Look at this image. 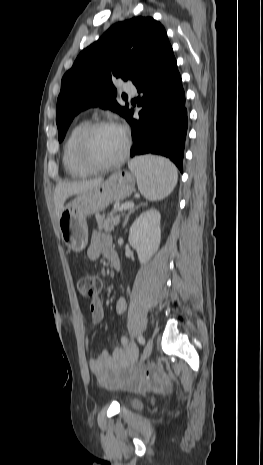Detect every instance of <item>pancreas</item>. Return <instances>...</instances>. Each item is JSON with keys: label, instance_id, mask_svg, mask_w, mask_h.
I'll return each instance as SVG.
<instances>
[{"label": "pancreas", "instance_id": "obj_1", "mask_svg": "<svg viewBox=\"0 0 263 465\" xmlns=\"http://www.w3.org/2000/svg\"><path fill=\"white\" fill-rule=\"evenodd\" d=\"M96 220H97L98 228L100 230L111 232L114 230L115 226L119 224L120 215L110 216L108 218H105L104 216L96 214Z\"/></svg>", "mask_w": 263, "mask_h": 465}]
</instances>
